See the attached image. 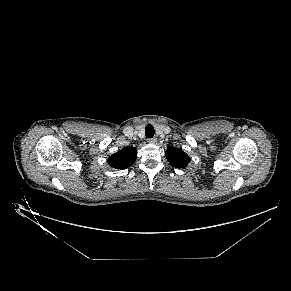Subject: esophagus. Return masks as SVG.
<instances>
[{
	"label": "esophagus",
	"mask_w": 291,
	"mask_h": 291,
	"mask_svg": "<svg viewBox=\"0 0 291 291\" xmlns=\"http://www.w3.org/2000/svg\"><path fill=\"white\" fill-rule=\"evenodd\" d=\"M148 142L151 144H156L157 143V138H149Z\"/></svg>",
	"instance_id": "obj_1"
}]
</instances>
